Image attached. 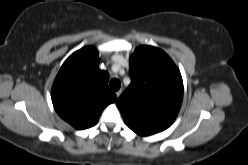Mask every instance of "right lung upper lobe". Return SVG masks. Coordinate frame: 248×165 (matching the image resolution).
Segmentation results:
<instances>
[{
    "instance_id": "right-lung-upper-lobe-1",
    "label": "right lung upper lobe",
    "mask_w": 248,
    "mask_h": 165,
    "mask_svg": "<svg viewBox=\"0 0 248 165\" xmlns=\"http://www.w3.org/2000/svg\"><path fill=\"white\" fill-rule=\"evenodd\" d=\"M108 80V73L99 69L93 47L76 51L63 63L52 87L56 112L76 129L94 126L103 109L117 99Z\"/></svg>"
}]
</instances>
